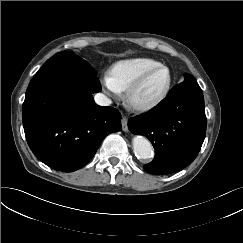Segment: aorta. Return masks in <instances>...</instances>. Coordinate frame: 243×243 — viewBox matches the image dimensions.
Returning <instances> with one entry per match:
<instances>
[{
  "label": "aorta",
  "mask_w": 243,
  "mask_h": 243,
  "mask_svg": "<svg viewBox=\"0 0 243 243\" xmlns=\"http://www.w3.org/2000/svg\"><path fill=\"white\" fill-rule=\"evenodd\" d=\"M133 151L139 159H150L153 154V148L151 143L142 136H136L133 138Z\"/></svg>",
  "instance_id": "1"
}]
</instances>
